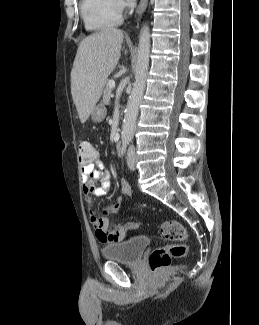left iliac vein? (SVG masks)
<instances>
[{"label": "left iliac vein", "instance_id": "obj_1", "mask_svg": "<svg viewBox=\"0 0 259 325\" xmlns=\"http://www.w3.org/2000/svg\"><path fill=\"white\" fill-rule=\"evenodd\" d=\"M127 165L129 169L135 170V154L134 151L130 150L127 155Z\"/></svg>", "mask_w": 259, "mask_h": 325}]
</instances>
